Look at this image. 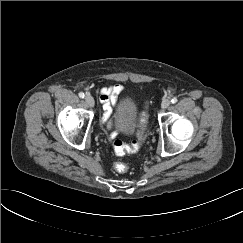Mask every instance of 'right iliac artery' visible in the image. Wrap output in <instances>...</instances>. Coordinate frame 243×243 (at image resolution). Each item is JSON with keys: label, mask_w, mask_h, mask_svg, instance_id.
Masks as SVG:
<instances>
[{"label": "right iliac artery", "mask_w": 243, "mask_h": 243, "mask_svg": "<svg viewBox=\"0 0 243 243\" xmlns=\"http://www.w3.org/2000/svg\"><path fill=\"white\" fill-rule=\"evenodd\" d=\"M84 96H85V94H84L83 92H80V93H79V97H80V98H84Z\"/></svg>", "instance_id": "82829eb1"}]
</instances>
